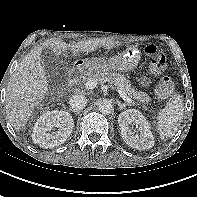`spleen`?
<instances>
[{
    "mask_svg": "<svg viewBox=\"0 0 197 197\" xmlns=\"http://www.w3.org/2000/svg\"><path fill=\"white\" fill-rule=\"evenodd\" d=\"M183 113V96L174 93L157 116V130L161 139L171 138L175 134L182 122Z\"/></svg>",
    "mask_w": 197,
    "mask_h": 197,
    "instance_id": "3e777b00",
    "label": "spleen"
}]
</instances>
